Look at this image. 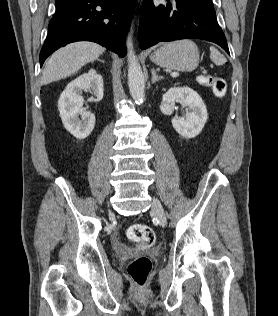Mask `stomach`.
I'll return each mask as SVG.
<instances>
[{
	"label": "stomach",
	"instance_id": "0dacf381",
	"mask_svg": "<svg viewBox=\"0 0 278 316\" xmlns=\"http://www.w3.org/2000/svg\"><path fill=\"white\" fill-rule=\"evenodd\" d=\"M156 65L176 71L191 72L199 64V51L190 40L167 43L150 55Z\"/></svg>",
	"mask_w": 278,
	"mask_h": 316
}]
</instances>
